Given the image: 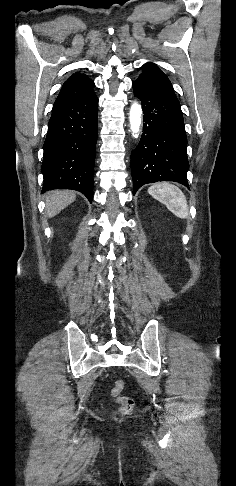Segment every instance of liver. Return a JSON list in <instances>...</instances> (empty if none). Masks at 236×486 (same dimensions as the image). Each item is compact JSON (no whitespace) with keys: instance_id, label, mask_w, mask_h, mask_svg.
I'll use <instances>...</instances> for the list:
<instances>
[{"instance_id":"liver-1","label":"liver","mask_w":236,"mask_h":486,"mask_svg":"<svg viewBox=\"0 0 236 486\" xmlns=\"http://www.w3.org/2000/svg\"><path fill=\"white\" fill-rule=\"evenodd\" d=\"M76 195L71 191H50L46 194V212L49 218L56 216L61 210L74 202Z\"/></svg>"}]
</instances>
